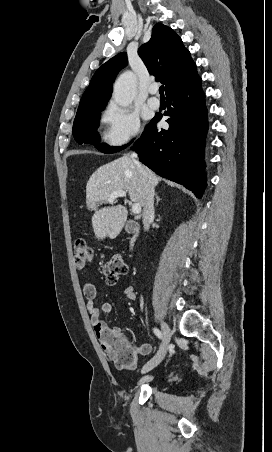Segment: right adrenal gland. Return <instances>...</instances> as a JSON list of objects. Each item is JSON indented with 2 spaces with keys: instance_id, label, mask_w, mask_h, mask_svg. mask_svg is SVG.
I'll return each mask as SVG.
<instances>
[{
  "instance_id": "2a0ac1e0",
  "label": "right adrenal gland",
  "mask_w": 272,
  "mask_h": 452,
  "mask_svg": "<svg viewBox=\"0 0 272 452\" xmlns=\"http://www.w3.org/2000/svg\"><path fill=\"white\" fill-rule=\"evenodd\" d=\"M159 201H160V198H159L158 194L156 193V206H158Z\"/></svg>"
}]
</instances>
